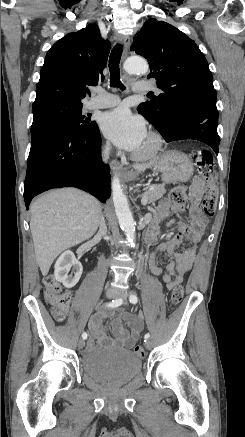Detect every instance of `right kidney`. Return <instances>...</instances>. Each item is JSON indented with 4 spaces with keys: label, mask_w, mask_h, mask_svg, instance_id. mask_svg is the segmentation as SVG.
<instances>
[{
    "label": "right kidney",
    "mask_w": 245,
    "mask_h": 437,
    "mask_svg": "<svg viewBox=\"0 0 245 437\" xmlns=\"http://www.w3.org/2000/svg\"><path fill=\"white\" fill-rule=\"evenodd\" d=\"M54 268L55 279L61 282L66 288L74 287L83 272L82 264L76 259L71 251H66L61 254L57 259ZM71 269L73 274L68 275Z\"/></svg>",
    "instance_id": "right-kidney-1"
}]
</instances>
